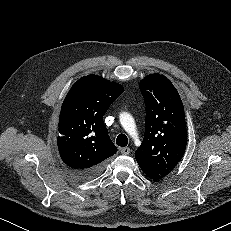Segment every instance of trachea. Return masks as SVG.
Listing matches in <instances>:
<instances>
[{
  "instance_id": "obj_1",
  "label": "trachea",
  "mask_w": 231,
  "mask_h": 231,
  "mask_svg": "<svg viewBox=\"0 0 231 231\" xmlns=\"http://www.w3.org/2000/svg\"><path fill=\"white\" fill-rule=\"evenodd\" d=\"M116 144L121 147H125L128 144V138L124 134H119L116 138Z\"/></svg>"
}]
</instances>
